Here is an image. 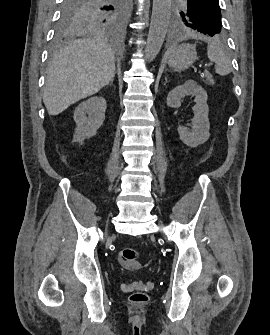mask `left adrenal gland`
<instances>
[{
    "label": "left adrenal gland",
    "instance_id": "a2214340",
    "mask_svg": "<svg viewBox=\"0 0 270 335\" xmlns=\"http://www.w3.org/2000/svg\"><path fill=\"white\" fill-rule=\"evenodd\" d=\"M167 82H168V80H167V78H165V84H167Z\"/></svg>",
    "mask_w": 270,
    "mask_h": 335
}]
</instances>
